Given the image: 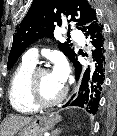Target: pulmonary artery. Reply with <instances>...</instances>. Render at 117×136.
<instances>
[{
	"label": "pulmonary artery",
	"mask_w": 117,
	"mask_h": 136,
	"mask_svg": "<svg viewBox=\"0 0 117 136\" xmlns=\"http://www.w3.org/2000/svg\"><path fill=\"white\" fill-rule=\"evenodd\" d=\"M70 35L72 38L77 41L78 43L82 44L83 42V37L82 35L76 31V30H71ZM38 58V51L37 49H31L27 53H25L23 60L31 63H36Z\"/></svg>",
	"instance_id": "obj_1"
}]
</instances>
